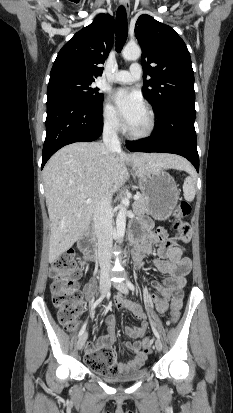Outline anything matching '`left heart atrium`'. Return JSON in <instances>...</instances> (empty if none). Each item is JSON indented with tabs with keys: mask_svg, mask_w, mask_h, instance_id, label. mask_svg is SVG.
<instances>
[{
	"mask_svg": "<svg viewBox=\"0 0 233 413\" xmlns=\"http://www.w3.org/2000/svg\"><path fill=\"white\" fill-rule=\"evenodd\" d=\"M113 101L128 127L133 124L145 110V104L141 95L134 90H116L113 94Z\"/></svg>",
	"mask_w": 233,
	"mask_h": 413,
	"instance_id": "1",
	"label": "left heart atrium"
}]
</instances>
